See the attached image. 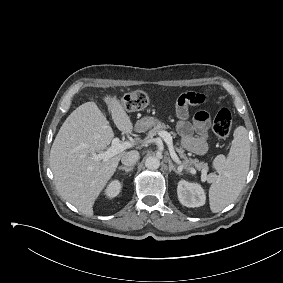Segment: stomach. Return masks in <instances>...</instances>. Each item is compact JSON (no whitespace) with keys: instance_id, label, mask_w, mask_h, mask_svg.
Segmentation results:
<instances>
[{"instance_id":"1","label":"stomach","mask_w":283,"mask_h":283,"mask_svg":"<svg viewBox=\"0 0 283 283\" xmlns=\"http://www.w3.org/2000/svg\"><path fill=\"white\" fill-rule=\"evenodd\" d=\"M158 123L159 120L155 117H144L136 122L135 128L138 132H143L154 127Z\"/></svg>"}]
</instances>
